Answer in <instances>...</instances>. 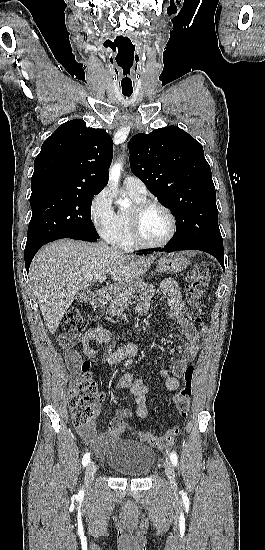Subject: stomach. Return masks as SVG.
Masks as SVG:
<instances>
[{"label": "stomach", "mask_w": 265, "mask_h": 550, "mask_svg": "<svg viewBox=\"0 0 265 550\" xmlns=\"http://www.w3.org/2000/svg\"><path fill=\"white\" fill-rule=\"evenodd\" d=\"M188 265V259L185 258L181 253L169 254L162 256L158 260V271L162 273L175 274L186 269ZM131 283L129 286L133 285ZM128 286V287H129Z\"/></svg>", "instance_id": "stomach-1"}]
</instances>
